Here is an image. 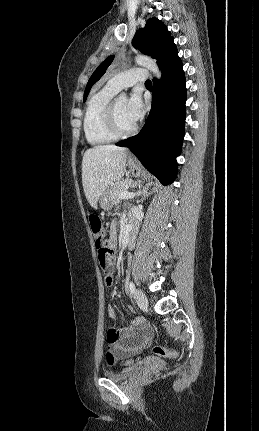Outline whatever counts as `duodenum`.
Returning <instances> with one entry per match:
<instances>
[{
	"label": "duodenum",
	"mask_w": 259,
	"mask_h": 431,
	"mask_svg": "<svg viewBox=\"0 0 259 431\" xmlns=\"http://www.w3.org/2000/svg\"><path fill=\"white\" fill-rule=\"evenodd\" d=\"M136 234H137L136 224L133 222H130L126 228V234H125V242H126L127 249H131L134 246Z\"/></svg>",
	"instance_id": "duodenum-1"
}]
</instances>
